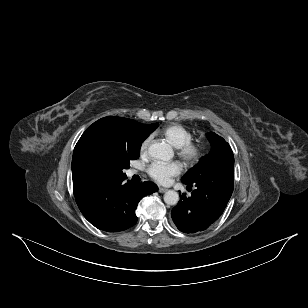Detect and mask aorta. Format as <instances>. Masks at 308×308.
I'll list each match as a JSON object with an SVG mask.
<instances>
[{"mask_svg":"<svg viewBox=\"0 0 308 308\" xmlns=\"http://www.w3.org/2000/svg\"><path fill=\"white\" fill-rule=\"evenodd\" d=\"M149 154L158 160L167 161L170 160L174 153L170 145L164 142H157L149 147ZM179 201V195L174 190H168L164 194V202L168 205H175Z\"/></svg>","mask_w":308,"mask_h":308,"instance_id":"1","label":"aorta"}]
</instances>
